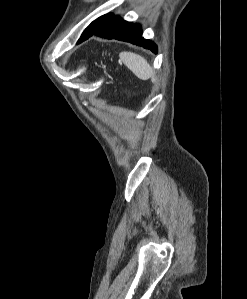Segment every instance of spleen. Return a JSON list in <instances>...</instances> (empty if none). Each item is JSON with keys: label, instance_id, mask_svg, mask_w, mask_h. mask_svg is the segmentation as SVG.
I'll use <instances>...</instances> for the list:
<instances>
[{"label": "spleen", "instance_id": "1", "mask_svg": "<svg viewBox=\"0 0 247 299\" xmlns=\"http://www.w3.org/2000/svg\"><path fill=\"white\" fill-rule=\"evenodd\" d=\"M119 57L124 65L128 69H130L138 78L147 80L151 77L153 81H155L154 73L151 69V66L141 55L124 51L120 53Z\"/></svg>", "mask_w": 247, "mask_h": 299}]
</instances>
